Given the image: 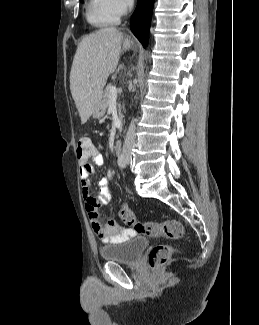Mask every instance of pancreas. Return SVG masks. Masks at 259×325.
Wrapping results in <instances>:
<instances>
[{
	"label": "pancreas",
	"instance_id": "obj_1",
	"mask_svg": "<svg viewBox=\"0 0 259 325\" xmlns=\"http://www.w3.org/2000/svg\"><path fill=\"white\" fill-rule=\"evenodd\" d=\"M110 88H111V85L110 84L107 85L104 95H103V102H104L106 108L109 106V103H110ZM118 112H119L120 118H122L123 116L121 114V105L120 104L118 106Z\"/></svg>",
	"mask_w": 259,
	"mask_h": 325
}]
</instances>
